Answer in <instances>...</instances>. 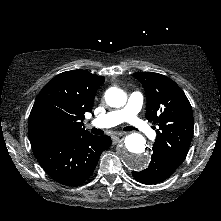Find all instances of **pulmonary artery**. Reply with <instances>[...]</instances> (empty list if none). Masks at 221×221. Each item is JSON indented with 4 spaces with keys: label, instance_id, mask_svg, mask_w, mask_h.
Masks as SVG:
<instances>
[{
    "label": "pulmonary artery",
    "instance_id": "obj_1",
    "mask_svg": "<svg viewBox=\"0 0 221 221\" xmlns=\"http://www.w3.org/2000/svg\"><path fill=\"white\" fill-rule=\"evenodd\" d=\"M143 104V96L140 92H133L128 99L127 104L120 110L108 112L93 121L90 125L99 128H109L122 122H127L138 131L148 137H154L155 132L151 127L139 117V112Z\"/></svg>",
    "mask_w": 221,
    "mask_h": 221
}]
</instances>
